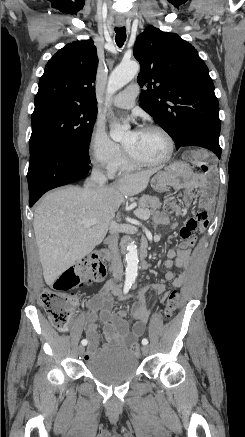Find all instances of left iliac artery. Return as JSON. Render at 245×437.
<instances>
[{
    "label": "left iliac artery",
    "instance_id": "left-iliac-artery-1",
    "mask_svg": "<svg viewBox=\"0 0 245 437\" xmlns=\"http://www.w3.org/2000/svg\"><path fill=\"white\" fill-rule=\"evenodd\" d=\"M142 344L143 345H147L148 344V340L146 338L142 339Z\"/></svg>",
    "mask_w": 245,
    "mask_h": 437
}]
</instances>
